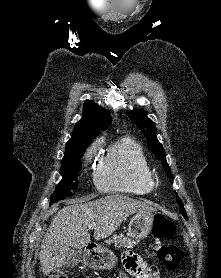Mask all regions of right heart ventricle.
I'll return each instance as SVG.
<instances>
[{
    "label": "right heart ventricle",
    "mask_w": 221,
    "mask_h": 278,
    "mask_svg": "<svg viewBox=\"0 0 221 278\" xmlns=\"http://www.w3.org/2000/svg\"><path fill=\"white\" fill-rule=\"evenodd\" d=\"M95 183L105 193L149 194L153 175L142 146L129 137L110 145L97 165Z\"/></svg>",
    "instance_id": "1"
}]
</instances>
